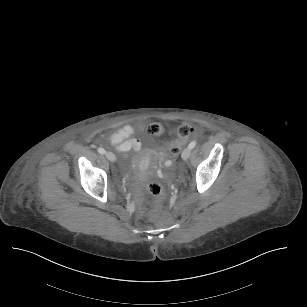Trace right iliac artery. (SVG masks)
<instances>
[{"instance_id":"1","label":"right iliac artery","mask_w":307,"mask_h":307,"mask_svg":"<svg viewBox=\"0 0 307 307\" xmlns=\"http://www.w3.org/2000/svg\"><path fill=\"white\" fill-rule=\"evenodd\" d=\"M98 152H99L100 154H105V153H106L105 149L102 148V147H99V148H98Z\"/></svg>"}]
</instances>
